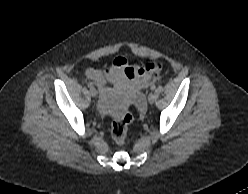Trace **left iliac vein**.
I'll use <instances>...</instances> for the list:
<instances>
[{"instance_id":"obj_1","label":"left iliac vein","mask_w":248,"mask_h":194,"mask_svg":"<svg viewBox=\"0 0 248 194\" xmlns=\"http://www.w3.org/2000/svg\"><path fill=\"white\" fill-rule=\"evenodd\" d=\"M155 100H156L155 94H154V93H150V94L148 95V102H149L150 104H153V103L155 102Z\"/></svg>"}]
</instances>
